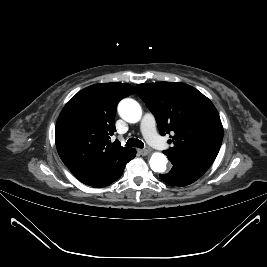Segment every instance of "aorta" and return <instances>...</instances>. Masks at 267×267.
Segmentation results:
<instances>
[{
	"mask_svg": "<svg viewBox=\"0 0 267 267\" xmlns=\"http://www.w3.org/2000/svg\"><path fill=\"white\" fill-rule=\"evenodd\" d=\"M118 113L128 123H137L142 117L140 104L131 98H125L118 105ZM167 158L160 152L152 154L149 164L154 172L163 173L166 170Z\"/></svg>",
	"mask_w": 267,
	"mask_h": 267,
	"instance_id": "obj_1",
	"label": "aorta"
}]
</instances>
